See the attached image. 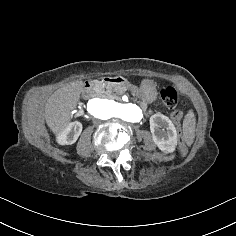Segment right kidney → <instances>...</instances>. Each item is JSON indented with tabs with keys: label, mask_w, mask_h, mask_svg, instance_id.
<instances>
[{
	"label": "right kidney",
	"mask_w": 236,
	"mask_h": 236,
	"mask_svg": "<svg viewBox=\"0 0 236 236\" xmlns=\"http://www.w3.org/2000/svg\"><path fill=\"white\" fill-rule=\"evenodd\" d=\"M81 132L82 124L79 121L70 122L63 131L56 134V142L60 145L74 144Z\"/></svg>",
	"instance_id": "1"
}]
</instances>
